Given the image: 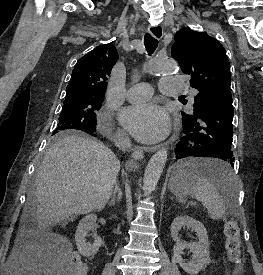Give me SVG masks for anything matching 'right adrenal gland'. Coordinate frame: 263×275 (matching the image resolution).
<instances>
[{
  "label": "right adrenal gland",
  "mask_w": 263,
  "mask_h": 275,
  "mask_svg": "<svg viewBox=\"0 0 263 275\" xmlns=\"http://www.w3.org/2000/svg\"><path fill=\"white\" fill-rule=\"evenodd\" d=\"M116 194H117V198H116ZM122 199V192L121 189L119 188L118 185L115 186V190L113 192V196L109 202L110 206L115 205L116 202H120V200Z\"/></svg>",
  "instance_id": "obj_1"
}]
</instances>
